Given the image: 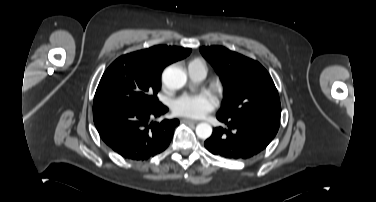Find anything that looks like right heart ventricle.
<instances>
[{
	"mask_svg": "<svg viewBox=\"0 0 376 202\" xmlns=\"http://www.w3.org/2000/svg\"><path fill=\"white\" fill-rule=\"evenodd\" d=\"M192 64H202L204 65L203 61L200 60V59H194L190 62L189 66L192 65Z\"/></svg>",
	"mask_w": 376,
	"mask_h": 202,
	"instance_id": "1",
	"label": "right heart ventricle"
}]
</instances>
